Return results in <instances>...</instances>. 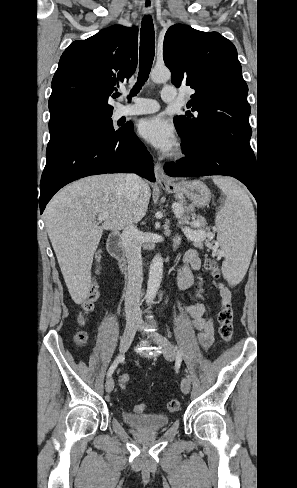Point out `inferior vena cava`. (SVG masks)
<instances>
[{
    "instance_id": "602c4592",
    "label": "inferior vena cava",
    "mask_w": 297,
    "mask_h": 488,
    "mask_svg": "<svg viewBox=\"0 0 297 488\" xmlns=\"http://www.w3.org/2000/svg\"><path fill=\"white\" fill-rule=\"evenodd\" d=\"M144 182L135 174L126 176V191L130 199L134 198ZM128 262V283L125 294L126 317H141L140 294L143 282L142 273V233L133 223H128L121 236Z\"/></svg>"
}]
</instances>
